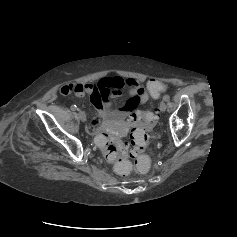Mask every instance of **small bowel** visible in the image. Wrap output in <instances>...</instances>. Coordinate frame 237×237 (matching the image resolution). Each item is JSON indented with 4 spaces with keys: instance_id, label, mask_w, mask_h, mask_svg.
Here are the masks:
<instances>
[{
    "instance_id": "obj_1",
    "label": "small bowel",
    "mask_w": 237,
    "mask_h": 237,
    "mask_svg": "<svg viewBox=\"0 0 237 237\" xmlns=\"http://www.w3.org/2000/svg\"><path fill=\"white\" fill-rule=\"evenodd\" d=\"M129 89L130 98L118 109H112L108 98H118L121 89ZM63 95L75 94L77 96L89 95L96 109V116L87 125V132L96 134L101 129L118 125L138 106L145 104L149 94L144 85L132 78L105 77L95 83H71L60 88Z\"/></svg>"
}]
</instances>
